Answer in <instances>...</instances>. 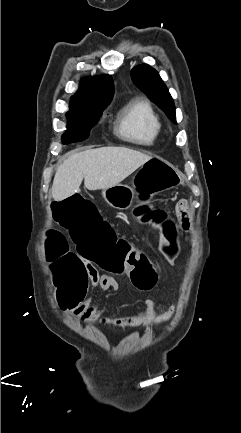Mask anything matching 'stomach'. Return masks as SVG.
I'll list each match as a JSON object with an SVG mask.
<instances>
[{"label":"stomach","mask_w":241,"mask_h":433,"mask_svg":"<svg viewBox=\"0 0 241 433\" xmlns=\"http://www.w3.org/2000/svg\"><path fill=\"white\" fill-rule=\"evenodd\" d=\"M135 189L134 185L118 184L103 190L102 196L109 206L118 210H128L134 202Z\"/></svg>","instance_id":"obj_1"}]
</instances>
